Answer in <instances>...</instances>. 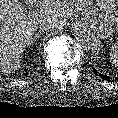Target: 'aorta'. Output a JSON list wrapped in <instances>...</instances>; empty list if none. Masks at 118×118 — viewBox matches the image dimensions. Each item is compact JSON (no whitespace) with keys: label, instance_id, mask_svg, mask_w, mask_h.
I'll return each mask as SVG.
<instances>
[{"label":"aorta","instance_id":"1","mask_svg":"<svg viewBox=\"0 0 118 118\" xmlns=\"http://www.w3.org/2000/svg\"><path fill=\"white\" fill-rule=\"evenodd\" d=\"M75 38L81 45V47L88 52H95L100 48V41L92 32L76 26L74 29Z\"/></svg>","mask_w":118,"mask_h":118}]
</instances>
